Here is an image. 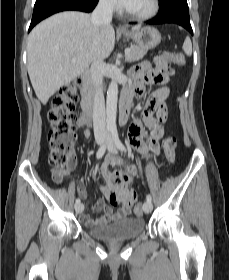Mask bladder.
I'll return each mask as SVG.
<instances>
[{
    "label": "bladder",
    "mask_w": 229,
    "mask_h": 280,
    "mask_svg": "<svg viewBox=\"0 0 229 280\" xmlns=\"http://www.w3.org/2000/svg\"><path fill=\"white\" fill-rule=\"evenodd\" d=\"M85 228L90 235L99 239H133L145 231L146 222L142 218L127 216L107 224L85 225Z\"/></svg>",
    "instance_id": "obj_1"
}]
</instances>
